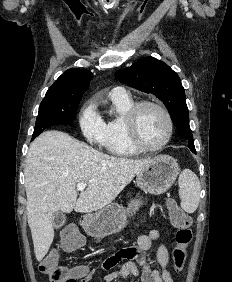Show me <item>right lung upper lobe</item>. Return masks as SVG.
I'll return each instance as SVG.
<instances>
[{"label":"right lung upper lobe","mask_w":232,"mask_h":282,"mask_svg":"<svg viewBox=\"0 0 232 282\" xmlns=\"http://www.w3.org/2000/svg\"><path fill=\"white\" fill-rule=\"evenodd\" d=\"M92 78V73L87 70L71 68L54 82L46 92L45 98L81 96L88 89Z\"/></svg>","instance_id":"1"}]
</instances>
